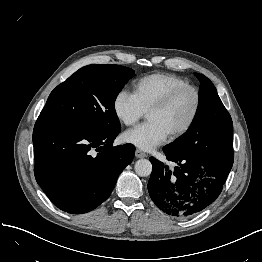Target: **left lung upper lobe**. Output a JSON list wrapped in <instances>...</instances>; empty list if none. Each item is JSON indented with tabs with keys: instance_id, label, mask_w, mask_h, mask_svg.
<instances>
[{
	"instance_id": "5c2ea615",
	"label": "left lung upper lobe",
	"mask_w": 262,
	"mask_h": 262,
	"mask_svg": "<svg viewBox=\"0 0 262 262\" xmlns=\"http://www.w3.org/2000/svg\"><path fill=\"white\" fill-rule=\"evenodd\" d=\"M200 80L199 105L188 131L165 148L174 154L208 163L221 162L233 150V123L213 83L204 75Z\"/></svg>"
}]
</instances>
